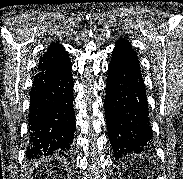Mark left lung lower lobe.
Here are the masks:
<instances>
[{
    "label": "left lung lower lobe",
    "mask_w": 183,
    "mask_h": 179,
    "mask_svg": "<svg viewBox=\"0 0 183 179\" xmlns=\"http://www.w3.org/2000/svg\"><path fill=\"white\" fill-rule=\"evenodd\" d=\"M105 116L114 157L152 147L148 102L136 53L120 39L108 68Z\"/></svg>",
    "instance_id": "left-lung-lower-lobe-1"
}]
</instances>
